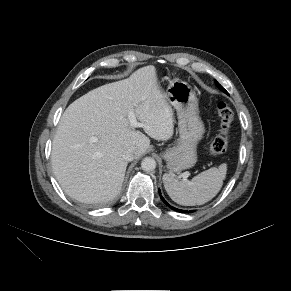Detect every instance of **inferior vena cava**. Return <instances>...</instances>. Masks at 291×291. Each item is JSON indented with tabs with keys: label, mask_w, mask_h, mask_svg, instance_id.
<instances>
[{
	"label": "inferior vena cava",
	"mask_w": 291,
	"mask_h": 291,
	"mask_svg": "<svg viewBox=\"0 0 291 291\" xmlns=\"http://www.w3.org/2000/svg\"><path fill=\"white\" fill-rule=\"evenodd\" d=\"M134 153H135L134 148H130V149L126 150L123 154V159H125L126 161H132L135 157Z\"/></svg>",
	"instance_id": "inferior-vena-cava-1"
}]
</instances>
